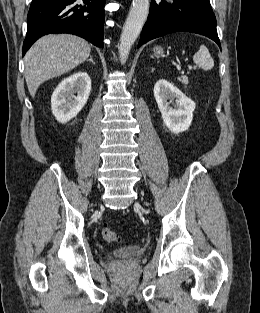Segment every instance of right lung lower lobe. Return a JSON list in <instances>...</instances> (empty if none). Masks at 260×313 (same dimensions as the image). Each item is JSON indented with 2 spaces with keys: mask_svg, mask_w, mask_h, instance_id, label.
Here are the masks:
<instances>
[{
  "mask_svg": "<svg viewBox=\"0 0 260 313\" xmlns=\"http://www.w3.org/2000/svg\"><path fill=\"white\" fill-rule=\"evenodd\" d=\"M104 6L105 0H32L23 55L50 33L75 34L103 48Z\"/></svg>",
  "mask_w": 260,
  "mask_h": 313,
  "instance_id": "obj_1",
  "label": "right lung lower lobe"
}]
</instances>
